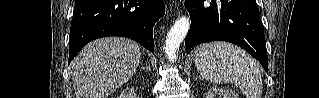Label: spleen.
I'll return each instance as SVG.
<instances>
[{
	"mask_svg": "<svg viewBox=\"0 0 319 98\" xmlns=\"http://www.w3.org/2000/svg\"><path fill=\"white\" fill-rule=\"evenodd\" d=\"M195 66L209 82L234 84L247 98L261 97L260 66L237 46L226 42L204 44L195 57Z\"/></svg>",
	"mask_w": 319,
	"mask_h": 98,
	"instance_id": "obj_1",
	"label": "spleen"
}]
</instances>
